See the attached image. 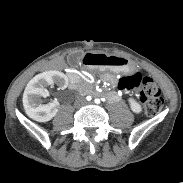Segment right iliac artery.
<instances>
[{"label": "right iliac artery", "instance_id": "right-iliac-artery-1", "mask_svg": "<svg viewBox=\"0 0 183 183\" xmlns=\"http://www.w3.org/2000/svg\"><path fill=\"white\" fill-rule=\"evenodd\" d=\"M86 99H87L88 101H90L92 98H91V96H87Z\"/></svg>", "mask_w": 183, "mask_h": 183}]
</instances>
